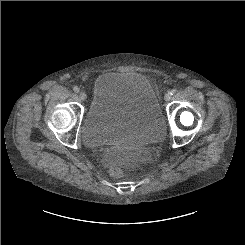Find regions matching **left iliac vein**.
I'll return each mask as SVG.
<instances>
[{
	"mask_svg": "<svg viewBox=\"0 0 245 245\" xmlns=\"http://www.w3.org/2000/svg\"><path fill=\"white\" fill-rule=\"evenodd\" d=\"M164 100H165L166 102H169V101L171 100V95H170V93L165 94Z\"/></svg>",
	"mask_w": 245,
	"mask_h": 245,
	"instance_id": "obj_1",
	"label": "left iliac vein"
}]
</instances>
